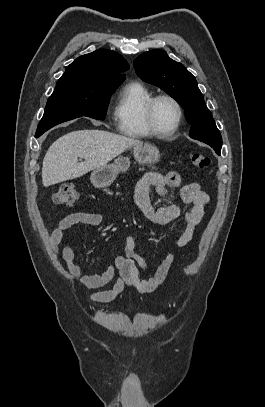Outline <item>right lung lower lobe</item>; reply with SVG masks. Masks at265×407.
<instances>
[{
	"instance_id": "98d812e1",
	"label": "right lung lower lobe",
	"mask_w": 265,
	"mask_h": 407,
	"mask_svg": "<svg viewBox=\"0 0 265 407\" xmlns=\"http://www.w3.org/2000/svg\"><path fill=\"white\" fill-rule=\"evenodd\" d=\"M42 135V134H41ZM41 135H37V136H35V137H39V136H41Z\"/></svg>"
}]
</instances>
